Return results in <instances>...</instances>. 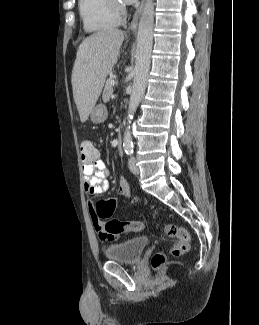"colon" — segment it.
Segmentation results:
<instances>
[{"instance_id": "colon-1", "label": "colon", "mask_w": 259, "mask_h": 325, "mask_svg": "<svg viewBox=\"0 0 259 325\" xmlns=\"http://www.w3.org/2000/svg\"><path fill=\"white\" fill-rule=\"evenodd\" d=\"M80 159L83 163L92 162L97 156V149L89 140H84L79 146ZM117 203L114 200H102L95 209L96 216L104 222V230L106 233L115 235L123 232H140L144 228L141 221H122L111 219ZM165 234L174 240V244L169 252L173 256H181L187 253L190 249V235L184 228L175 225L167 224L164 228ZM166 260L165 254L159 252L152 258L153 267H159Z\"/></svg>"}]
</instances>
